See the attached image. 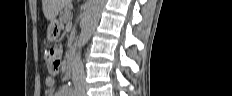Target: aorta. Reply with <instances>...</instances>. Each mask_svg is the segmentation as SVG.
Returning a JSON list of instances; mask_svg holds the SVG:
<instances>
[{
	"label": "aorta",
	"mask_w": 232,
	"mask_h": 96,
	"mask_svg": "<svg viewBox=\"0 0 232 96\" xmlns=\"http://www.w3.org/2000/svg\"><path fill=\"white\" fill-rule=\"evenodd\" d=\"M104 3L105 0L88 1L85 22L82 26L81 33L77 42L78 53L76 54L72 64V72L75 76H82L84 74V67L81 60V49L90 39L92 31L99 21Z\"/></svg>",
	"instance_id": "1"
}]
</instances>
